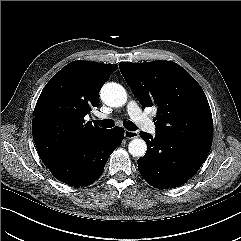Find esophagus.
I'll use <instances>...</instances> for the list:
<instances>
[{"mask_svg": "<svg viewBox=\"0 0 241 241\" xmlns=\"http://www.w3.org/2000/svg\"><path fill=\"white\" fill-rule=\"evenodd\" d=\"M124 136L127 139H134V138H137L139 136V133L137 131L125 130Z\"/></svg>", "mask_w": 241, "mask_h": 241, "instance_id": "34e87169", "label": "esophagus"}]
</instances>
